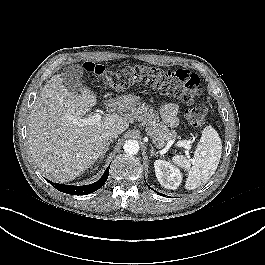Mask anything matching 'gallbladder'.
I'll return each instance as SVG.
<instances>
[{
	"mask_svg": "<svg viewBox=\"0 0 265 265\" xmlns=\"http://www.w3.org/2000/svg\"><path fill=\"white\" fill-rule=\"evenodd\" d=\"M83 70L79 65L68 67L63 73V83L69 92H80L83 88L80 77Z\"/></svg>",
	"mask_w": 265,
	"mask_h": 265,
	"instance_id": "gallbladder-1",
	"label": "gallbladder"
}]
</instances>
